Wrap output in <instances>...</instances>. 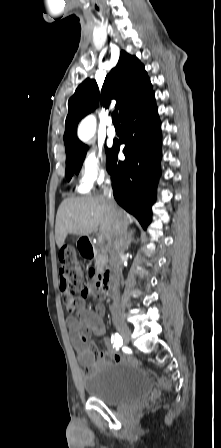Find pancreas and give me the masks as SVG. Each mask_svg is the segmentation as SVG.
Segmentation results:
<instances>
[{
    "mask_svg": "<svg viewBox=\"0 0 221 448\" xmlns=\"http://www.w3.org/2000/svg\"><path fill=\"white\" fill-rule=\"evenodd\" d=\"M100 257H102V256H100ZM96 265H98V259H97V261H96Z\"/></svg>",
    "mask_w": 221,
    "mask_h": 448,
    "instance_id": "pancreas-1",
    "label": "pancreas"
}]
</instances>
